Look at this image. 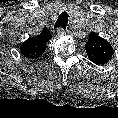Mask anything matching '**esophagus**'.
<instances>
[{
	"instance_id": "esophagus-1",
	"label": "esophagus",
	"mask_w": 118,
	"mask_h": 118,
	"mask_svg": "<svg viewBox=\"0 0 118 118\" xmlns=\"http://www.w3.org/2000/svg\"><path fill=\"white\" fill-rule=\"evenodd\" d=\"M57 35H66L69 33L68 30H63L62 28L57 29L56 31Z\"/></svg>"
}]
</instances>
